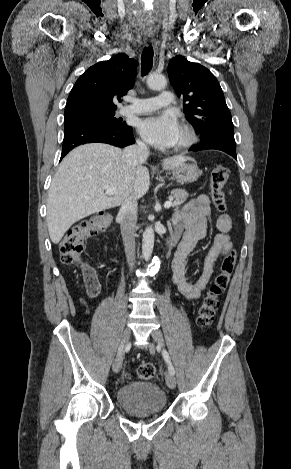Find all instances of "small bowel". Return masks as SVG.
Listing matches in <instances>:
<instances>
[{
    "instance_id": "obj_1",
    "label": "small bowel",
    "mask_w": 291,
    "mask_h": 469,
    "mask_svg": "<svg viewBox=\"0 0 291 469\" xmlns=\"http://www.w3.org/2000/svg\"><path fill=\"white\" fill-rule=\"evenodd\" d=\"M210 214L209 199L207 196L201 195L187 203L182 211L173 217V226L176 233L181 234L185 229L183 240L171 263L173 282L182 296L189 300L200 297L210 281L214 262L232 248L231 238L228 234L231 228L230 218L220 216L217 220L219 232L215 235L213 244L204 259L202 273L197 281L191 282L188 280L186 274L187 258L196 244L206 236ZM84 281L87 291L95 288L97 294L99 293L100 284L94 273L91 279L84 277Z\"/></svg>"
}]
</instances>
